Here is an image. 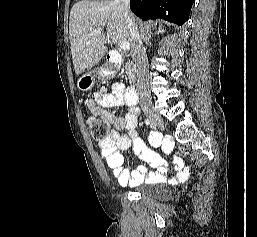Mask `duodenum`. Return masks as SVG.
<instances>
[{
  "mask_svg": "<svg viewBox=\"0 0 257 237\" xmlns=\"http://www.w3.org/2000/svg\"><path fill=\"white\" fill-rule=\"evenodd\" d=\"M113 58L117 62H120V58H118L116 56H114ZM125 96L129 103H132V104L137 103L138 99H139V95H138V90H137L136 86H134V85L128 86L125 89Z\"/></svg>",
  "mask_w": 257,
  "mask_h": 237,
  "instance_id": "1",
  "label": "duodenum"
}]
</instances>
